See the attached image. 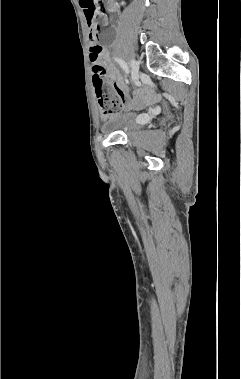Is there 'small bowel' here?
<instances>
[{
	"label": "small bowel",
	"mask_w": 241,
	"mask_h": 379,
	"mask_svg": "<svg viewBox=\"0 0 241 379\" xmlns=\"http://www.w3.org/2000/svg\"><path fill=\"white\" fill-rule=\"evenodd\" d=\"M109 81L115 93L122 99L123 107L126 110L140 109L146 105L153 104L160 100V95L148 87H140L133 93V98L127 100V86L118 70L113 65L107 67ZM106 77V70H105Z\"/></svg>",
	"instance_id": "c3829d8e"
}]
</instances>
